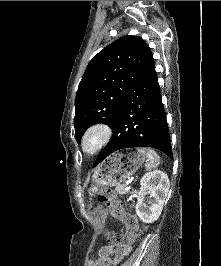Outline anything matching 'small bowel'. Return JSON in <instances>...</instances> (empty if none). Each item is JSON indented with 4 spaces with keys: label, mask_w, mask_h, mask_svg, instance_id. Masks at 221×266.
Returning <instances> with one entry per match:
<instances>
[{
    "label": "small bowel",
    "mask_w": 221,
    "mask_h": 266,
    "mask_svg": "<svg viewBox=\"0 0 221 266\" xmlns=\"http://www.w3.org/2000/svg\"><path fill=\"white\" fill-rule=\"evenodd\" d=\"M96 212L103 213L104 209L102 207H96ZM130 251L131 246L129 244H125L119 249H113L110 246H103L97 251L98 259L91 260L88 263V266H97V262L100 259H104L106 261L105 266L117 264L123 258V256L127 255ZM110 257H112V260H110Z\"/></svg>",
    "instance_id": "c3829d8e"
}]
</instances>
